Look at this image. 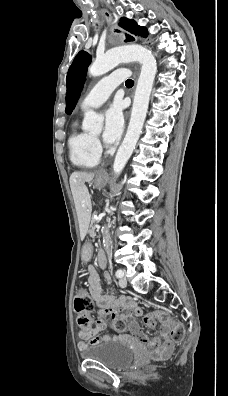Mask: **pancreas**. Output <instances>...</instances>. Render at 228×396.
Listing matches in <instances>:
<instances>
[{"label":"pancreas","mask_w":228,"mask_h":396,"mask_svg":"<svg viewBox=\"0 0 228 396\" xmlns=\"http://www.w3.org/2000/svg\"><path fill=\"white\" fill-rule=\"evenodd\" d=\"M91 218H92V223H91V226H90V229H89V234H90L91 237H93L94 234H95V225L93 223H95V220L99 218V215L98 214H92Z\"/></svg>","instance_id":"cf45deb5"}]
</instances>
